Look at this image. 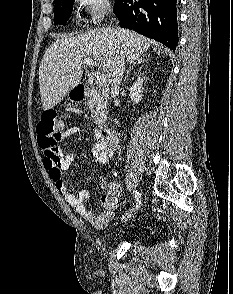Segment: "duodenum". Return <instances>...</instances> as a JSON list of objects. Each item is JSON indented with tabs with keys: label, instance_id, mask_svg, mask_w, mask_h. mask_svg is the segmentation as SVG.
Wrapping results in <instances>:
<instances>
[{
	"label": "duodenum",
	"instance_id": "1",
	"mask_svg": "<svg viewBox=\"0 0 233 294\" xmlns=\"http://www.w3.org/2000/svg\"><path fill=\"white\" fill-rule=\"evenodd\" d=\"M73 93L77 100H82L87 93V88L85 85L79 84L74 88ZM102 139L111 147H116L119 143L117 133L110 128L103 129Z\"/></svg>",
	"mask_w": 233,
	"mask_h": 294
}]
</instances>
